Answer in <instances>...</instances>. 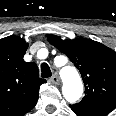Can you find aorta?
<instances>
[{"instance_id": "1", "label": "aorta", "mask_w": 116, "mask_h": 116, "mask_svg": "<svg viewBox=\"0 0 116 116\" xmlns=\"http://www.w3.org/2000/svg\"><path fill=\"white\" fill-rule=\"evenodd\" d=\"M61 77L64 98L70 103H75L83 94V84L78 72L74 67L65 65L61 70Z\"/></svg>"}]
</instances>
